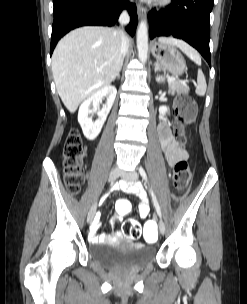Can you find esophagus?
Returning <instances> with one entry per match:
<instances>
[{"mask_svg": "<svg viewBox=\"0 0 247 304\" xmlns=\"http://www.w3.org/2000/svg\"><path fill=\"white\" fill-rule=\"evenodd\" d=\"M137 14L139 18H142L145 15V9L141 6H137Z\"/></svg>", "mask_w": 247, "mask_h": 304, "instance_id": "esophagus-1", "label": "esophagus"}]
</instances>
